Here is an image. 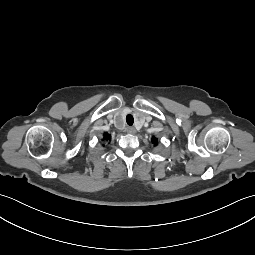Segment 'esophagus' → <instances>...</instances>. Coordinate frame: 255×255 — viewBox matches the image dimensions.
Returning a JSON list of instances; mask_svg holds the SVG:
<instances>
[{
	"label": "esophagus",
	"instance_id": "34e87169",
	"mask_svg": "<svg viewBox=\"0 0 255 255\" xmlns=\"http://www.w3.org/2000/svg\"><path fill=\"white\" fill-rule=\"evenodd\" d=\"M126 131L129 134H134L136 132V130L133 127H127Z\"/></svg>",
	"mask_w": 255,
	"mask_h": 255
}]
</instances>
